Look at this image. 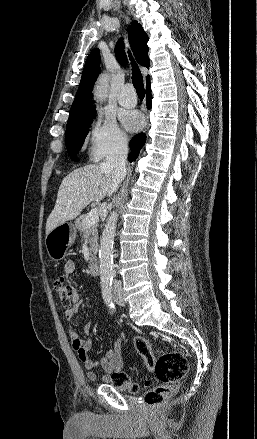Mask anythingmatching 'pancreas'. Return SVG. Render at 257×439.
<instances>
[{
	"label": "pancreas",
	"instance_id": "pancreas-1",
	"mask_svg": "<svg viewBox=\"0 0 257 439\" xmlns=\"http://www.w3.org/2000/svg\"><path fill=\"white\" fill-rule=\"evenodd\" d=\"M86 215L83 214L81 216H79L76 220H75V225L76 228L79 230L80 235L82 236L83 239L88 241L89 244V251L91 254V258L90 261L95 257L96 253H97V248H98V223L95 222L92 226L90 227H84L83 226V221L85 220Z\"/></svg>",
	"mask_w": 257,
	"mask_h": 439
}]
</instances>
